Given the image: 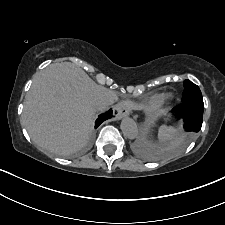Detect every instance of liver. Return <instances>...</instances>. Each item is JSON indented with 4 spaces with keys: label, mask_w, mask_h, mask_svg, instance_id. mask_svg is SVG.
I'll use <instances>...</instances> for the list:
<instances>
[{
    "label": "liver",
    "mask_w": 225,
    "mask_h": 225,
    "mask_svg": "<svg viewBox=\"0 0 225 225\" xmlns=\"http://www.w3.org/2000/svg\"><path fill=\"white\" fill-rule=\"evenodd\" d=\"M116 100V92L96 84L78 66L51 64L33 79L22 123L36 145L68 155L87 143L98 104Z\"/></svg>",
    "instance_id": "6515ba94"
}]
</instances>
